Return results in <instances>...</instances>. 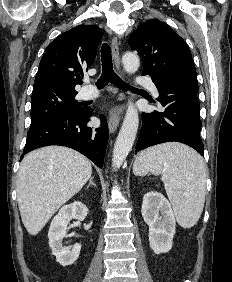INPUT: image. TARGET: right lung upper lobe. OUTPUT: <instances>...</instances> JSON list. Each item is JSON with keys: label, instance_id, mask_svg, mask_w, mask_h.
<instances>
[{"label": "right lung upper lobe", "instance_id": "obj_1", "mask_svg": "<svg viewBox=\"0 0 232 282\" xmlns=\"http://www.w3.org/2000/svg\"><path fill=\"white\" fill-rule=\"evenodd\" d=\"M102 30L97 26L79 25L62 33L43 54L35 77L33 92L62 89L75 91L82 84L80 76L93 63Z\"/></svg>", "mask_w": 232, "mask_h": 282}]
</instances>
